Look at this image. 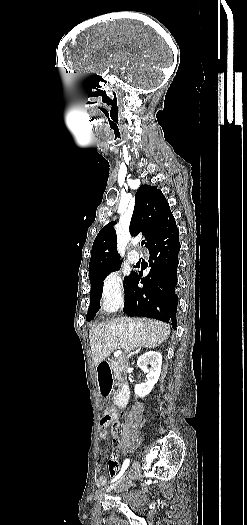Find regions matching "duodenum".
<instances>
[{
	"mask_svg": "<svg viewBox=\"0 0 247 525\" xmlns=\"http://www.w3.org/2000/svg\"><path fill=\"white\" fill-rule=\"evenodd\" d=\"M99 390L102 396H108L111 393L113 379L111 363L101 361L96 368ZM130 391L127 384H123L119 393L114 398V405L121 409L125 407L129 400Z\"/></svg>",
	"mask_w": 247,
	"mask_h": 525,
	"instance_id": "1",
	"label": "duodenum"
}]
</instances>
